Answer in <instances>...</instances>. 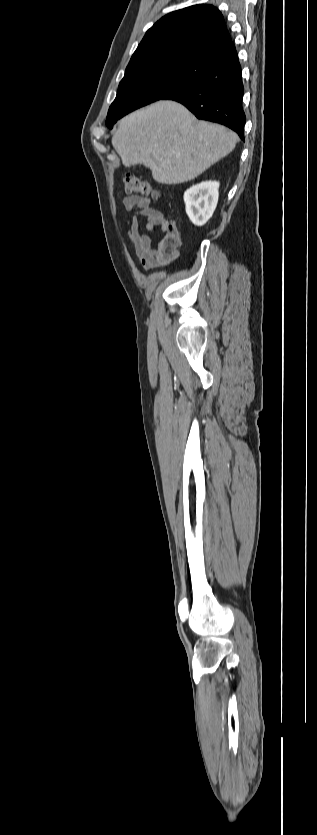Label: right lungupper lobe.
I'll list each match as a JSON object with an SVG mask.
<instances>
[{
	"instance_id": "obj_1",
	"label": "right lung upper lobe",
	"mask_w": 317,
	"mask_h": 835,
	"mask_svg": "<svg viewBox=\"0 0 317 835\" xmlns=\"http://www.w3.org/2000/svg\"><path fill=\"white\" fill-rule=\"evenodd\" d=\"M231 42L224 18L212 5L200 4L162 17L145 34L125 75L145 67L193 57Z\"/></svg>"
}]
</instances>
